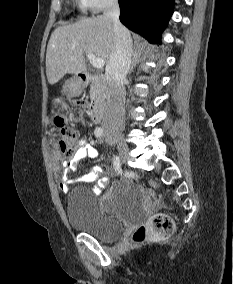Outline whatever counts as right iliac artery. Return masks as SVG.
<instances>
[{
    "instance_id": "82829eb1",
    "label": "right iliac artery",
    "mask_w": 233,
    "mask_h": 284,
    "mask_svg": "<svg viewBox=\"0 0 233 284\" xmlns=\"http://www.w3.org/2000/svg\"><path fill=\"white\" fill-rule=\"evenodd\" d=\"M94 134L96 137H102L104 135V130L101 127H98L95 129ZM115 168H120V167H115Z\"/></svg>"
}]
</instances>
